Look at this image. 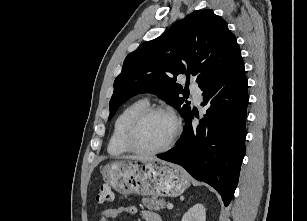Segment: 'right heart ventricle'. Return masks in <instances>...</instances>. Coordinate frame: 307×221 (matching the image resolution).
<instances>
[{
	"mask_svg": "<svg viewBox=\"0 0 307 221\" xmlns=\"http://www.w3.org/2000/svg\"><path fill=\"white\" fill-rule=\"evenodd\" d=\"M148 105L149 103L147 100L139 99L127 105L118 114L114 121L112 133L107 147L109 154L117 156L128 152L123 143L125 128L131 118L143 108L148 107Z\"/></svg>",
	"mask_w": 307,
	"mask_h": 221,
	"instance_id": "obj_1",
	"label": "right heart ventricle"
}]
</instances>
